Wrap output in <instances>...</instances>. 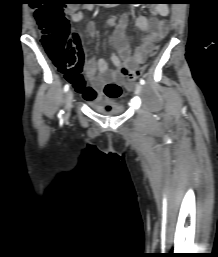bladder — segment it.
<instances>
[{
    "mask_svg": "<svg viewBox=\"0 0 218 257\" xmlns=\"http://www.w3.org/2000/svg\"><path fill=\"white\" fill-rule=\"evenodd\" d=\"M86 102L89 107L105 115H118L124 111V106L109 96H100Z\"/></svg>",
    "mask_w": 218,
    "mask_h": 257,
    "instance_id": "1",
    "label": "bladder"
}]
</instances>
